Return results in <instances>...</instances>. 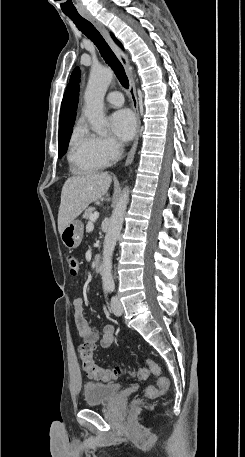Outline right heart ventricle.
<instances>
[{
    "label": "right heart ventricle",
    "mask_w": 245,
    "mask_h": 457,
    "mask_svg": "<svg viewBox=\"0 0 245 457\" xmlns=\"http://www.w3.org/2000/svg\"><path fill=\"white\" fill-rule=\"evenodd\" d=\"M70 146L72 159L81 167L87 170H98L106 165L88 145L86 130L81 125H77L73 129Z\"/></svg>",
    "instance_id": "obj_1"
}]
</instances>
